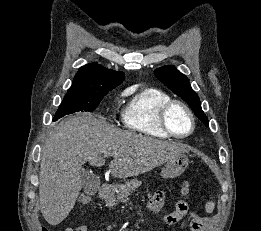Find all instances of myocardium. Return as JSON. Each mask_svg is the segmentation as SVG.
I'll return each mask as SVG.
<instances>
[{"label": "myocardium", "instance_id": "1", "mask_svg": "<svg viewBox=\"0 0 261 231\" xmlns=\"http://www.w3.org/2000/svg\"><path fill=\"white\" fill-rule=\"evenodd\" d=\"M175 106L182 107L188 113L190 121H191V128H190L189 132L184 135H180V134H177L176 132H174L171 129L169 122H168V114H169L170 110ZM159 122H160L161 128L167 134H169L172 137L179 138V139L187 138L188 136H190L193 133V131L195 129V125H196L195 116H194L192 109L185 102H183L181 100H176V99L170 100L161 108L160 114H159Z\"/></svg>", "mask_w": 261, "mask_h": 231}]
</instances>
